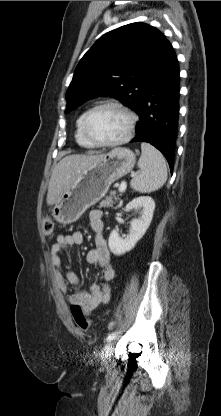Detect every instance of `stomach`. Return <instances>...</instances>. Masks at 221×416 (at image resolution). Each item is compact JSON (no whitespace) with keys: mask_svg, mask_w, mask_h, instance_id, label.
Listing matches in <instances>:
<instances>
[{"mask_svg":"<svg viewBox=\"0 0 221 416\" xmlns=\"http://www.w3.org/2000/svg\"><path fill=\"white\" fill-rule=\"evenodd\" d=\"M135 162L136 156L128 148H114L105 154L77 175L52 209L53 218L64 225L78 220L106 195L112 183L132 170Z\"/></svg>","mask_w":221,"mask_h":416,"instance_id":"0dacf381","label":"stomach"}]
</instances>
